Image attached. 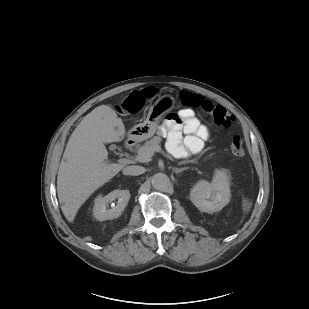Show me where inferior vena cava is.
<instances>
[{
	"mask_svg": "<svg viewBox=\"0 0 309 309\" xmlns=\"http://www.w3.org/2000/svg\"><path fill=\"white\" fill-rule=\"evenodd\" d=\"M122 172L124 175L137 176L143 174L145 172V169L142 166L131 165L125 167Z\"/></svg>",
	"mask_w": 309,
	"mask_h": 309,
	"instance_id": "inferior-vena-cava-1",
	"label": "inferior vena cava"
}]
</instances>
